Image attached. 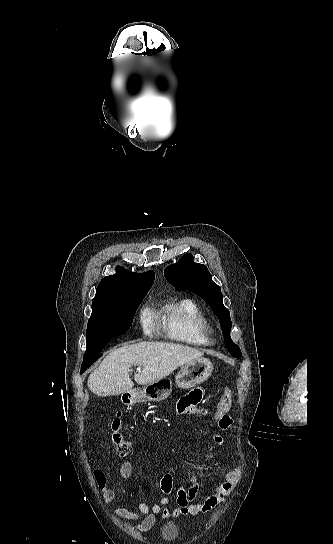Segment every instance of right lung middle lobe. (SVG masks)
Segmentation results:
<instances>
[{
    "label": "right lung middle lobe",
    "mask_w": 333,
    "mask_h": 544,
    "mask_svg": "<svg viewBox=\"0 0 333 544\" xmlns=\"http://www.w3.org/2000/svg\"><path fill=\"white\" fill-rule=\"evenodd\" d=\"M147 292L92 302V314L86 332L87 349L81 367L96 361L112 338L129 330L134 314Z\"/></svg>",
    "instance_id": "1"
}]
</instances>
